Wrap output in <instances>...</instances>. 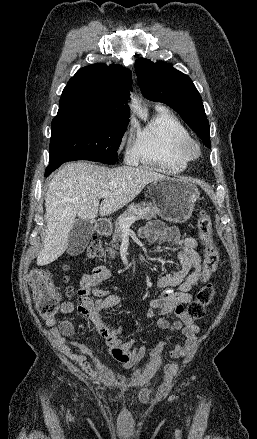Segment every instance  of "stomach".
I'll use <instances>...</instances> for the list:
<instances>
[{"mask_svg":"<svg viewBox=\"0 0 257 439\" xmlns=\"http://www.w3.org/2000/svg\"><path fill=\"white\" fill-rule=\"evenodd\" d=\"M148 191L159 215L174 222L188 220L200 196L196 185L183 178L165 177L153 181Z\"/></svg>","mask_w":257,"mask_h":439,"instance_id":"obj_1","label":"stomach"}]
</instances>
